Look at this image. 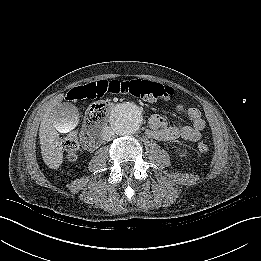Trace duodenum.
Here are the masks:
<instances>
[{"mask_svg": "<svg viewBox=\"0 0 261 261\" xmlns=\"http://www.w3.org/2000/svg\"><path fill=\"white\" fill-rule=\"evenodd\" d=\"M104 129H106V128H104ZM84 138L87 141L92 143V147L93 148H97L100 145L101 141H102V136L94 137V134L90 130H86L84 132Z\"/></svg>", "mask_w": 261, "mask_h": 261, "instance_id": "duodenum-1", "label": "duodenum"}]
</instances>
